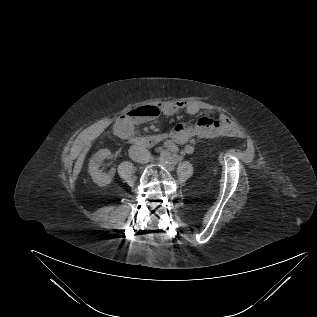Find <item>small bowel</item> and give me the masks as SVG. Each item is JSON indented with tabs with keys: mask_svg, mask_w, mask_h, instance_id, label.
I'll list each match as a JSON object with an SVG mask.
<instances>
[{
	"mask_svg": "<svg viewBox=\"0 0 317 317\" xmlns=\"http://www.w3.org/2000/svg\"><path fill=\"white\" fill-rule=\"evenodd\" d=\"M159 108L164 116H173L180 111L196 115L202 110L197 102L188 100L163 101L159 104ZM134 125V121L130 119L123 120L117 124V129L121 133L134 136ZM238 132V127L226 116H221L218 119L201 116L192 124L176 125L171 131L169 139L166 141V148L176 153L177 144H185L182 152L189 155L194 152L193 145L188 143L192 138L208 139L217 136H235Z\"/></svg>",
	"mask_w": 317,
	"mask_h": 317,
	"instance_id": "small-bowel-1",
	"label": "small bowel"
}]
</instances>
